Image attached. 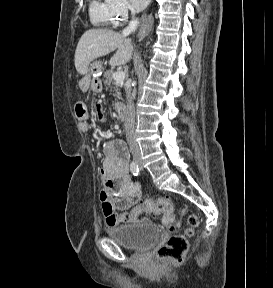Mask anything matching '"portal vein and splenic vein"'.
Returning <instances> with one entry per match:
<instances>
[{
	"mask_svg": "<svg viewBox=\"0 0 273 288\" xmlns=\"http://www.w3.org/2000/svg\"><path fill=\"white\" fill-rule=\"evenodd\" d=\"M112 78L117 82H123L125 79V73L122 71H118L113 73Z\"/></svg>",
	"mask_w": 273,
	"mask_h": 288,
	"instance_id": "1",
	"label": "portal vein and splenic vein"
}]
</instances>
